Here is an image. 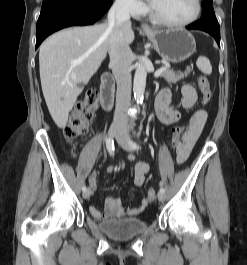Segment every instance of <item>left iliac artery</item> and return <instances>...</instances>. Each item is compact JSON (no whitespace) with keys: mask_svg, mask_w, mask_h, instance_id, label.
Masks as SVG:
<instances>
[{"mask_svg":"<svg viewBox=\"0 0 247 265\" xmlns=\"http://www.w3.org/2000/svg\"><path fill=\"white\" fill-rule=\"evenodd\" d=\"M129 144H130V146L133 148V149H140V145L139 144H137L136 142H134V141H130L129 142ZM160 192H165V189H164V187L161 185V188H160Z\"/></svg>","mask_w":247,"mask_h":265,"instance_id":"44dca946","label":"left iliac artery"}]
</instances>
